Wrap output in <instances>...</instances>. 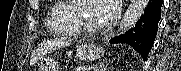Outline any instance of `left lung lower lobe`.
Wrapping results in <instances>:
<instances>
[{
	"instance_id": "left-lung-lower-lobe-1",
	"label": "left lung lower lobe",
	"mask_w": 181,
	"mask_h": 71,
	"mask_svg": "<svg viewBox=\"0 0 181 71\" xmlns=\"http://www.w3.org/2000/svg\"><path fill=\"white\" fill-rule=\"evenodd\" d=\"M162 4L163 0H149L144 15L135 27L123 35L112 38L110 43L128 44L146 60L156 38Z\"/></svg>"
}]
</instances>
